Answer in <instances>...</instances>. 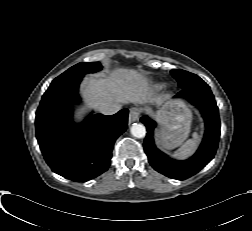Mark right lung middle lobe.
Segmentation results:
<instances>
[{"label": "right lung middle lobe", "instance_id": "1", "mask_svg": "<svg viewBox=\"0 0 252 231\" xmlns=\"http://www.w3.org/2000/svg\"><path fill=\"white\" fill-rule=\"evenodd\" d=\"M101 68L102 66L99 62L78 63L74 65L73 67L69 68L67 71H65L63 74H61L57 78H55L50 84L49 88L66 83V82H70L76 79H82L86 73H94L96 71H99Z\"/></svg>", "mask_w": 252, "mask_h": 231}]
</instances>
